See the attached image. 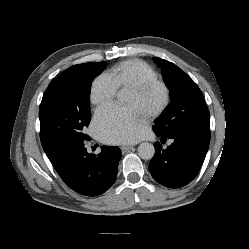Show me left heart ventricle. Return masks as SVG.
<instances>
[{
    "instance_id": "1",
    "label": "left heart ventricle",
    "mask_w": 249,
    "mask_h": 249,
    "mask_svg": "<svg viewBox=\"0 0 249 249\" xmlns=\"http://www.w3.org/2000/svg\"><path fill=\"white\" fill-rule=\"evenodd\" d=\"M163 92L158 86L149 89L143 95H137L130 91L127 107L133 108L141 117H146L154 111L162 102Z\"/></svg>"
}]
</instances>
